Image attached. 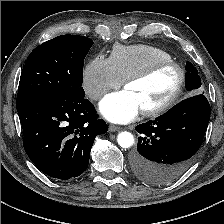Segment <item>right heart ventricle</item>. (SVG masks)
I'll use <instances>...</instances> for the list:
<instances>
[{"instance_id": "e07e8e85", "label": "right heart ventricle", "mask_w": 224, "mask_h": 224, "mask_svg": "<svg viewBox=\"0 0 224 224\" xmlns=\"http://www.w3.org/2000/svg\"><path fill=\"white\" fill-rule=\"evenodd\" d=\"M110 60L120 79L125 81L129 76L155 62L172 60V56L167 51L151 45H119L113 48Z\"/></svg>"}]
</instances>
